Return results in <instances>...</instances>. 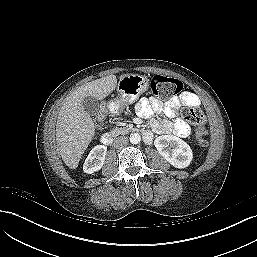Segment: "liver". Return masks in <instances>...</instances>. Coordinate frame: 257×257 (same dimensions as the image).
<instances>
[{
    "mask_svg": "<svg viewBox=\"0 0 257 257\" xmlns=\"http://www.w3.org/2000/svg\"><path fill=\"white\" fill-rule=\"evenodd\" d=\"M130 74L121 75L119 79ZM117 86L115 75L93 80L80 86L64 102L56 123V141L64 163L77 168L79 161L95 134V124L84 110L82 101L92 96L102 100L111 94Z\"/></svg>",
    "mask_w": 257,
    "mask_h": 257,
    "instance_id": "liver-1",
    "label": "liver"
}]
</instances>
